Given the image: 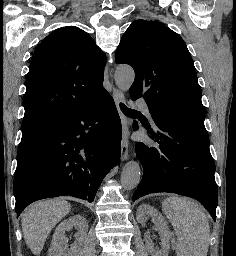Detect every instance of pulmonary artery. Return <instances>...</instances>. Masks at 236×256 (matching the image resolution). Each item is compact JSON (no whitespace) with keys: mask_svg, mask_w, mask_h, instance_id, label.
Masks as SVG:
<instances>
[{"mask_svg":"<svg viewBox=\"0 0 236 256\" xmlns=\"http://www.w3.org/2000/svg\"><path fill=\"white\" fill-rule=\"evenodd\" d=\"M134 106H141V110L149 117L151 118V114L149 112V108L146 104H144L143 101H134L133 102Z\"/></svg>","mask_w":236,"mask_h":256,"instance_id":"pulmonary-artery-1","label":"pulmonary artery"}]
</instances>
